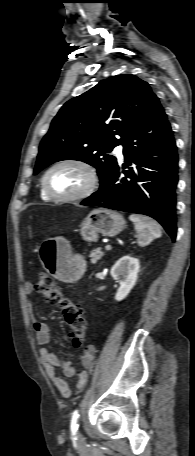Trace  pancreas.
<instances>
[{"mask_svg":"<svg viewBox=\"0 0 195 456\" xmlns=\"http://www.w3.org/2000/svg\"><path fill=\"white\" fill-rule=\"evenodd\" d=\"M104 256V252L101 250L100 247L95 248L90 253L91 263L95 264L98 260H100Z\"/></svg>","mask_w":195,"mask_h":456,"instance_id":"1","label":"pancreas"}]
</instances>
